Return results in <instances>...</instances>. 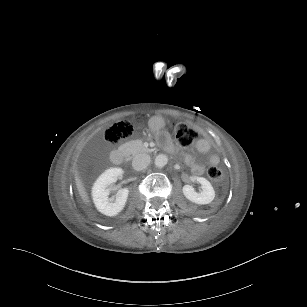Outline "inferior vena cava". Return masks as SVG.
Here are the masks:
<instances>
[{"instance_id": "obj_1", "label": "inferior vena cava", "mask_w": 307, "mask_h": 307, "mask_svg": "<svg viewBox=\"0 0 307 307\" xmlns=\"http://www.w3.org/2000/svg\"><path fill=\"white\" fill-rule=\"evenodd\" d=\"M148 166V161L141 155H136L132 160V167L136 171H142Z\"/></svg>"}]
</instances>
